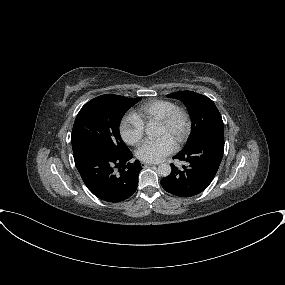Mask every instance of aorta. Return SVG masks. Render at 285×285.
<instances>
[{
	"label": "aorta",
	"instance_id": "762f6f07",
	"mask_svg": "<svg viewBox=\"0 0 285 285\" xmlns=\"http://www.w3.org/2000/svg\"><path fill=\"white\" fill-rule=\"evenodd\" d=\"M145 132L148 136H151L153 135L154 130L152 127H147ZM157 171L160 176L167 177L171 173V166L167 163L160 164Z\"/></svg>",
	"mask_w": 285,
	"mask_h": 285
}]
</instances>
